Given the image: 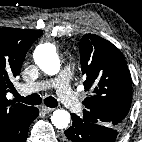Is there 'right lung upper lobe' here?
Here are the masks:
<instances>
[{"label": "right lung upper lobe", "mask_w": 142, "mask_h": 142, "mask_svg": "<svg viewBox=\"0 0 142 142\" xmlns=\"http://www.w3.org/2000/svg\"><path fill=\"white\" fill-rule=\"evenodd\" d=\"M42 31L0 28V142L14 139L26 123L33 107L6 98L10 79L20 74L25 55Z\"/></svg>", "instance_id": "obj_1"}]
</instances>
